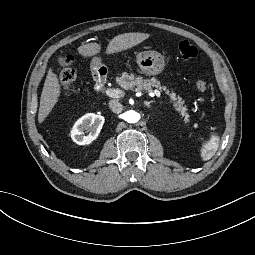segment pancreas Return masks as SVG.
Instances as JSON below:
<instances>
[{"label": "pancreas", "instance_id": "cf45deb5", "mask_svg": "<svg viewBox=\"0 0 255 255\" xmlns=\"http://www.w3.org/2000/svg\"><path fill=\"white\" fill-rule=\"evenodd\" d=\"M117 81L124 89H131L134 92L152 93L155 88L160 91L163 90L165 94L169 96L170 103L173 104L174 110L180 113V117L183 119L185 125H189V114L186 111V107L183 106L181 97H176L174 90L162 85L158 78L141 79L135 77L133 73L128 74L124 72Z\"/></svg>", "mask_w": 255, "mask_h": 255}]
</instances>
